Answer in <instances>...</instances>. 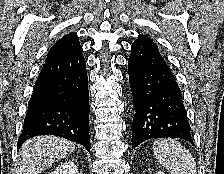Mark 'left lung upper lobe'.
Returning <instances> with one entry per match:
<instances>
[{"mask_svg":"<svg viewBox=\"0 0 224 174\" xmlns=\"http://www.w3.org/2000/svg\"><path fill=\"white\" fill-rule=\"evenodd\" d=\"M133 44H140V45H156L149 37L142 35L139 36L138 39Z\"/></svg>","mask_w":224,"mask_h":174,"instance_id":"left-lung-upper-lobe-1","label":"left lung upper lobe"}]
</instances>
